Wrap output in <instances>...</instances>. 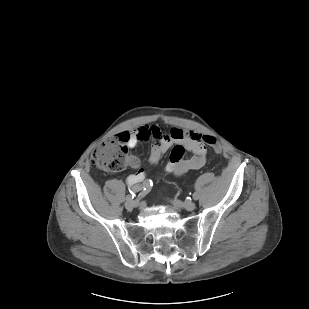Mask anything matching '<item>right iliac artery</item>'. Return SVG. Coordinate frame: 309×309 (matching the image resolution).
Returning <instances> with one entry per match:
<instances>
[{
    "label": "right iliac artery",
    "instance_id": "82829eb1",
    "mask_svg": "<svg viewBox=\"0 0 309 309\" xmlns=\"http://www.w3.org/2000/svg\"><path fill=\"white\" fill-rule=\"evenodd\" d=\"M143 183H144V188L142 190H140L139 194H137V199H135L136 201L142 200L143 197H146L151 192L150 188L153 185L152 180L147 178V179L143 180ZM133 198L134 197L131 194L127 196L128 201L133 200Z\"/></svg>",
    "mask_w": 309,
    "mask_h": 309
}]
</instances>
